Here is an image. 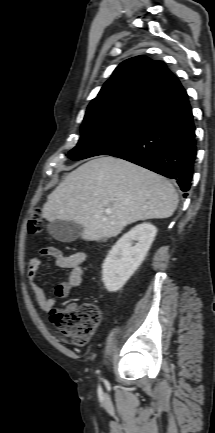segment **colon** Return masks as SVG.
I'll list each match as a JSON object with an SVG mask.
<instances>
[{"mask_svg":"<svg viewBox=\"0 0 215 433\" xmlns=\"http://www.w3.org/2000/svg\"><path fill=\"white\" fill-rule=\"evenodd\" d=\"M44 227L42 211L36 207L28 221V232L37 235ZM53 324L77 345L89 343L100 320V312L97 305L83 303L76 308L57 310L52 313Z\"/></svg>","mask_w":215,"mask_h":433,"instance_id":"1","label":"colon"}]
</instances>
